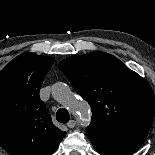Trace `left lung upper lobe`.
<instances>
[{
    "mask_svg": "<svg viewBox=\"0 0 155 155\" xmlns=\"http://www.w3.org/2000/svg\"><path fill=\"white\" fill-rule=\"evenodd\" d=\"M58 67L91 106L92 120L86 134L149 131L155 114L153 90L119 59L97 51L68 57Z\"/></svg>",
    "mask_w": 155,
    "mask_h": 155,
    "instance_id": "left-lung-upper-lobe-1",
    "label": "left lung upper lobe"
}]
</instances>
